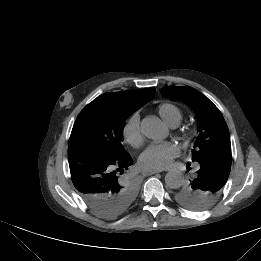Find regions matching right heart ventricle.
Segmentation results:
<instances>
[{
	"label": "right heart ventricle",
	"instance_id": "e07e8e85",
	"mask_svg": "<svg viewBox=\"0 0 261 261\" xmlns=\"http://www.w3.org/2000/svg\"><path fill=\"white\" fill-rule=\"evenodd\" d=\"M157 110L161 118L169 125H173V124L178 125L182 120L183 114L181 109L173 103H169V102L161 103L158 106Z\"/></svg>",
	"mask_w": 261,
	"mask_h": 261
}]
</instances>
